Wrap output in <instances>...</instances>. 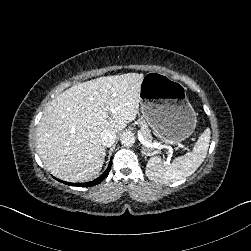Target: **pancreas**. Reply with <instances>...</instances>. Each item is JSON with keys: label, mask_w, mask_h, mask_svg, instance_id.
I'll return each instance as SVG.
<instances>
[{"label": "pancreas", "mask_w": 251, "mask_h": 251, "mask_svg": "<svg viewBox=\"0 0 251 251\" xmlns=\"http://www.w3.org/2000/svg\"><path fill=\"white\" fill-rule=\"evenodd\" d=\"M137 122L140 125L141 133L143 135V138L146 140V142L151 145L153 140H152V134H151V129L147 122L144 119H138ZM150 150L152 153H155L159 150L158 146L150 147Z\"/></svg>", "instance_id": "cf45deb5"}]
</instances>
